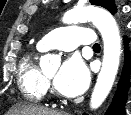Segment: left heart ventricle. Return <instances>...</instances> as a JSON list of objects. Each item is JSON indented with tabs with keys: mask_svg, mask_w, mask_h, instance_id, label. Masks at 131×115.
<instances>
[{
	"mask_svg": "<svg viewBox=\"0 0 131 115\" xmlns=\"http://www.w3.org/2000/svg\"><path fill=\"white\" fill-rule=\"evenodd\" d=\"M55 74H56V71H52V72H50L49 74H47V77H48L49 79H52V78L55 76Z\"/></svg>",
	"mask_w": 131,
	"mask_h": 115,
	"instance_id": "b2bd125f",
	"label": "left heart ventricle"
}]
</instances>
